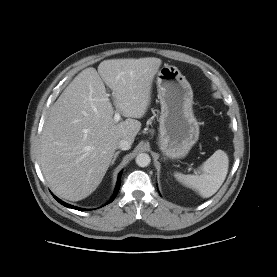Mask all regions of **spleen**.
<instances>
[{
    "instance_id": "3e777b00",
    "label": "spleen",
    "mask_w": 277,
    "mask_h": 277,
    "mask_svg": "<svg viewBox=\"0 0 277 277\" xmlns=\"http://www.w3.org/2000/svg\"><path fill=\"white\" fill-rule=\"evenodd\" d=\"M229 159L223 150H217L200 167V175H184L175 173L176 179L183 185L196 190L203 198L214 195L228 173Z\"/></svg>"
}]
</instances>
